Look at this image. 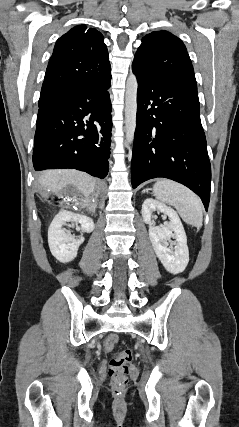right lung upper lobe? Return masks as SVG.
<instances>
[{"label": "right lung upper lobe", "mask_w": 239, "mask_h": 427, "mask_svg": "<svg viewBox=\"0 0 239 427\" xmlns=\"http://www.w3.org/2000/svg\"><path fill=\"white\" fill-rule=\"evenodd\" d=\"M102 34L80 25L72 28L55 44L41 96L74 83H95L111 74L109 55Z\"/></svg>", "instance_id": "cb5924a9"}]
</instances>
